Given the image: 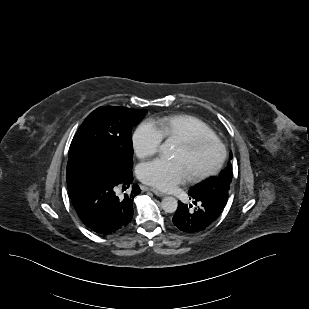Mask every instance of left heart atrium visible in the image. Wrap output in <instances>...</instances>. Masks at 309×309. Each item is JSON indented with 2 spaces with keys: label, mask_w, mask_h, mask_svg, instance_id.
Returning <instances> with one entry per match:
<instances>
[{
  "label": "left heart atrium",
  "mask_w": 309,
  "mask_h": 309,
  "mask_svg": "<svg viewBox=\"0 0 309 309\" xmlns=\"http://www.w3.org/2000/svg\"><path fill=\"white\" fill-rule=\"evenodd\" d=\"M136 174L143 183L163 191L174 190L190 178L181 160L165 158H157L140 164Z\"/></svg>",
  "instance_id": "obj_1"
}]
</instances>
